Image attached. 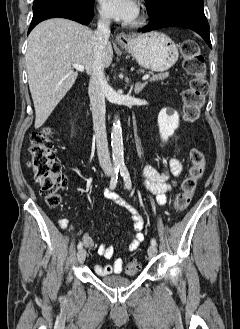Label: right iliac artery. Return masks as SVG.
I'll return each mask as SVG.
<instances>
[{
	"label": "right iliac artery",
	"instance_id": "right-iliac-artery-1",
	"mask_svg": "<svg viewBox=\"0 0 240 329\" xmlns=\"http://www.w3.org/2000/svg\"><path fill=\"white\" fill-rule=\"evenodd\" d=\"M118 174H119V166H115L113 168V174L110 180V189H114L116 187L117 184V180H118ZM78 250L83 248V243L79 242L77 245Z\"/></svg>",
	"mask_w": 240,
	"mask_h": 329
}]
</instances>
